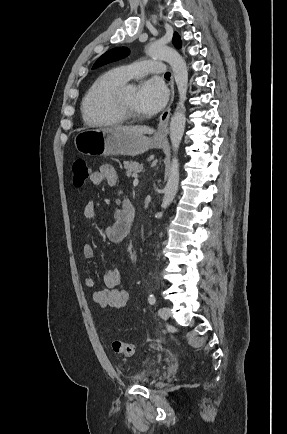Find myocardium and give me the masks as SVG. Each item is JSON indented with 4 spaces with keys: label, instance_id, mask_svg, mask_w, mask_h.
Here are the masks:
<instances>
[{
    "label": "myocardium",
    "instance_id": "myocardium-1",
    "mask_svg": "<svg viewBox=\"0 0 287 434\" xmlns=\"http://www.w3.org/2000/svg\"><path fill=\"white\" fill-rule=\"evenodd\" d=\"M128 86L126 84L118 87L111 97V106L113 110L123 119V120H138L143 118L141 113H136L130 110L123 100V91Z\"/></svg>",
    "mask_w": 287,
    "mask_h": 434
}]
</instances>
